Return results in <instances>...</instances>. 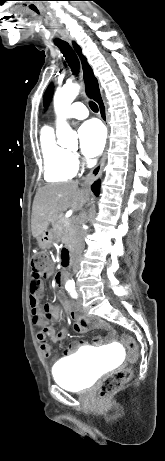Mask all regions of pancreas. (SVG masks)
I'll use <instances>...</instances> for the list:
<instances>
[{"label": "pancreas", "mask_w": 165, "mask_h": 461, "mask_svg": "<svg viewBox=\"0 0 165 461\" xmlns=\"http://www.w3.org/2000/svg\"><path fill=\"white\" fill-rule=\"evenodd\" d=\"M52 227L55 239L70 246L73 237V227L68 225V221L62 214L52 220Z\"/></svg>", "instance_id": "obj_1"}]
</instances>
